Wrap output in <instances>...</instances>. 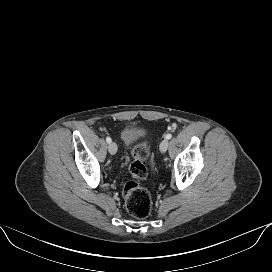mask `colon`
<instances>
[{"label": "colon", "mask_w": 272, "mask_h": 272, "mask_svg": "<svg viewBox=\"0 0 272 272\" xmlns=\"http://www.w3.org/2000/svg\"><path fill=\"white\" fill-rule=\"evenodd\" d=\"M134 160L130 164L131 179L123 188V197L127 211L136 218H146L152 210V200L149 192L139 184L147 176L144 161L149 157V148L145 143L136 147Z\"/></svg>", "instance_id": "colon-1"}]
</instances>
